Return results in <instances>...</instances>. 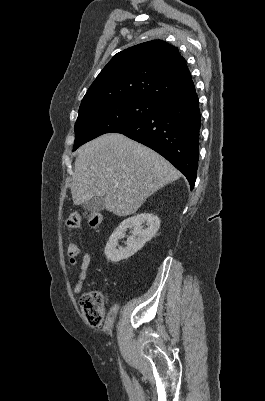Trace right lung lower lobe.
Returning a JSON list of instances; mask_svg holds the SVG:
<instances>
[{"label": "right lung lower lobe", "instance_id": "right-lung-lower-lobe-1", "mask_svg": "<svg viewBox=\"0 0 265 401\" xmlns=\"http://www.w3.org/2000/svg\"><path fill=\"white\" fill-rule=\"evenodd\" d=\"M200 126L199 100L194 87L185 94L163 100L153 114L114 133L124 134L161 154L185 175L192 190L197 176Z\"/></svg>", "mask_w": 265, "mask_h": 401}]
</instances>
